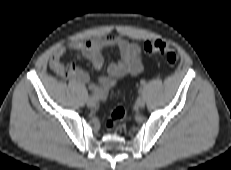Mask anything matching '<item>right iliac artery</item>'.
<instances>
[{
  "label": "right iliac artery",
  "instance_id": "1",
  "mask_svg": "<svg viewBox=\"0 0 231 170\" xmlns=\"http://www.w3.org/2000/svg\"><path fill=\"white\" fill-rule=\"evenodd\" d=\"M91 98H94L95 100H98L97 98H95L94 96H92Z\"/></svg>",
  "mask_w": 231,
  "mask_h": 170
}]
</instances>
